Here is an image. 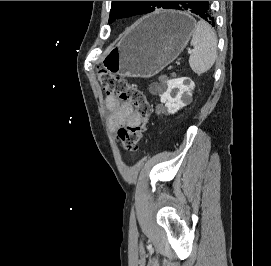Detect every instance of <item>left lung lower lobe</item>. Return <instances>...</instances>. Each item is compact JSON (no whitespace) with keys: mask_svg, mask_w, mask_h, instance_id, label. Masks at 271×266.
<instances>
[{"mask_svg":"<svg viewBox=\"0 0 271 266\" xmlns=\"http://www.w3.org/2000/svg\"><path fill=\"white\" fill-rule=\"evenodd\" d=\"M168 9L189 10L199 15L211 26H215V18L211 12L209 1H174Z\"/></svg>","mask_w":271,"mask_h":266,"instance_id":"1","label":"left lung lower lobe"}]
</instances>
